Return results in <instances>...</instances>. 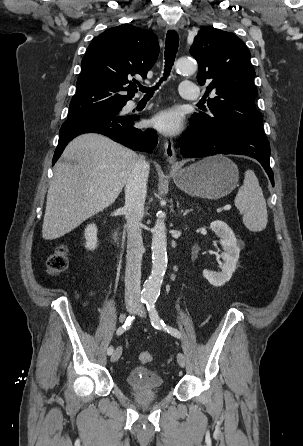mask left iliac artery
Returning <instances> with one entry per match:
<instances>
[{
	"label": "left iliac artery",
	"mask_w": 303,
	"mask_h": 446,
	"mask_svg": "<svg viewBox=\"0 0 303 446\" xmlns=\"http://www.w3.org/2000/svg\"><path fill=\"white\" fill-rule=\"evenodd\" d=\"M155 303H156L155 299H149L146 302L152 326L156 329H163L164 331L171 334L172 336H174L176 338H180L181 333L177 329L167 326L163 322V320L160 319L158 312L155 308Z\"/></svg>",
	"instance_id": "obj_1"
}]
</instances>
